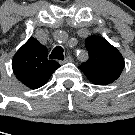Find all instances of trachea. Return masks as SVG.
<instances>
[{"label": "trachea", "mask_w": 135, "mask_h": 135, "mask_svg": "<svg viewBox=\"0 0 135 135\" xmlns=\"http://www.w3.org/2000/svg\"><path fill=\"white\" fill-rule=\"evenodd\" d=\"M49 58L63 60L64 59L63 48L60 46L55 47L52 50V53L50 54Z\"/></svg>", "instance_id": "obj_1"}]
</instances>
